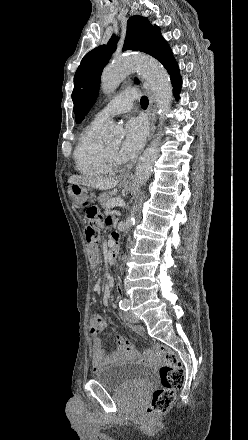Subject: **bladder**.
Returning a JSON list of instances; mask_svg holds the SVG:
<instances>
[{
    "label": "bladder",
    "mask_w": 248,
    "mask_h": 440,
    "mask_svg": "<svg viewBox=\"0 0 248 440\" xmlns=\"http://www.w3.org/2000/svg\"><path fill=\"white\" fill-rule=\"evenodd\" d=\"M93 378L110 390L144 392L152 385L154 371L143 364L118 361L95 371Z\"/></svg>",
    "instance_id": "31cf9c89"
}]
</instances>
